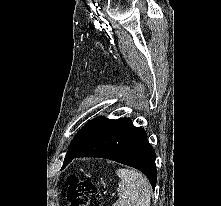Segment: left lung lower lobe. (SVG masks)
Instances as JSON below:
<instances>
[{"label":"left lung lower lobe","mask_w":221,"mask_h":206,"mask_svg":"<svg viewBox=\"0 0 221 206\" xmlns=\"http://www.w3.org/2000/svg\"><path fill=\"white\" fill-rule=\"evenodd\" d=\"M99 157L117 161L142 171L156 185L155 153L147 134L133 126L127 118L114 120L101 134L78 154L63 163L68 165L74 158Z\"/></svg>","instance_id":"left-lung-lower-lobe-1"}]
</instances>
